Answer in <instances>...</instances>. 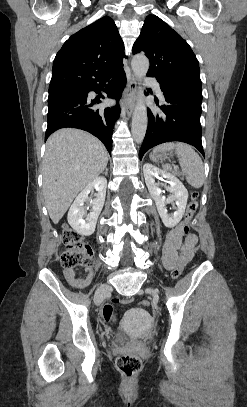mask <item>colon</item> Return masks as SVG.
<instances>
[{
	"instance_id": "obj_1",
	"label": "colon",
	"mask_w": 247,
	"mask_h": 407,
	"mask_svg": "<svg viewBox=\"0 0 247 407\" xmlns=\"http://www.w3.org/2000/svg\"><path fill=\"white\" fill-rule=\"evenodd\" d=\"M198 193L191 192V199L188 203L184 220L182 222V231L185 235L190 233V222L198 210ZM64 250L60 254L61 265L65 269H74L76 267L89 268L94 263L93 251L90 245L83 239V237L69 227H65L63 231ZM184 254L181 252L180 260L175 268L172 270L171 276L173 279H178L184 269ZM133 301V297H126L124 299L114 298L111 303L104 305L102 309V317L106 322H116L117 315L114 312V304H129ZM142 307H148L149 302L142 300L140 302ZM117 369L126 377L132 378L136 376L141 367L142 362L135 354H123L116 359Z\"/></svg>"
}]
</instances>
